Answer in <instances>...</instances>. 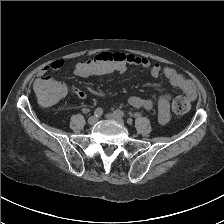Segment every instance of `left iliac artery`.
<instances>
[{
  "label": "left iliac artery",
  "mask_w": 224,
  "mask_h": 224,
  "mask_svg": "<svg viewBox=\"0 0 224 224\" xmlns=\"http://www.w3.org/2000/svg\"><path fill=\"white\" fill-rule=\"evenodd\" d=\"M114 113L116 115L120 116V117H124V115H125L124 112L122 110H119V109L118 110H115Z\"/></svg>",
  "instance_id": "obj_1"
}]
</instances>
